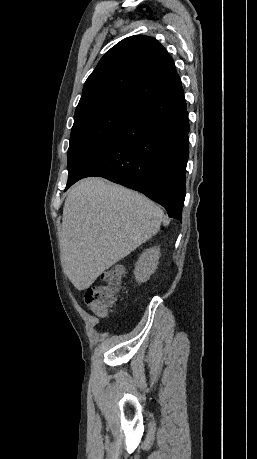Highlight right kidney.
<instances>
[{
  "label": "right kidney",
  "mask_w": 257,
  "mask_h": 459,
  "mask_svg": "<svg viewBox=\"0 0 257 459\" xmlns=\"http://www.w3.org/2000/svg\"><path fill=\"white\" fill-rule=\"evenodd\" d=\"M159 257L160 250L157 247L149 248L140 255L134 270L137 282L143 283L150 278L157 268Z\"/></svg>",
  "instance_id": "ca27d5eb"
}]
</instances>
